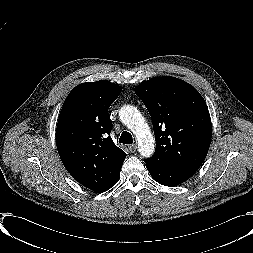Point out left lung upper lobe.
<instances>
[{
    "label": "left lung upper lobe",
    "instance_id": "obj_1",
    "mask_svg": "<svg viewBox=\"0 0 253 253\" xmlns=\"http://www.w3.org/2000/svg\"><path fill=\"white\" fill-rule=\"evenodd\" d=\"M147 107L156 140L149 166L196 172L209 150L212 126L199 92L174 77H154L135 88Z\"/></svg>",
    "mask_w": 253,
    "mask_h": 253
}]
</instances>
